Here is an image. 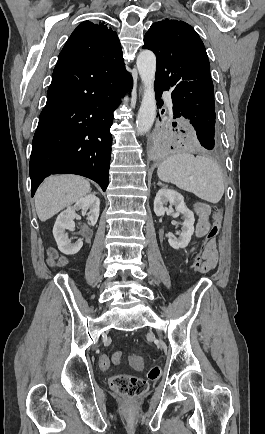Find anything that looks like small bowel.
<instances>
[{"label": "small bowel", "mask_w": 265, "mask_h": 434, "mask_svg": "<svg viewBox=\"0 0 265 434\" xmlns=\"http://www.w3.org/2000/svg\"><path fill=\"white\" fill-rule=\"evenodd\" d=\"M194 212L197 216L195 235L198 238H202V237L207 235L208 231L211 228V223H210L211 209L207 203L197 202L194 205ZM203 259L210 267V268L204 267L203 273L209 274L210 270H212L216 267L217 261H218V253H217V249H216L215 240L207 243V245L203 251ZM131 363L135 369H137L139 371L142 370V361H141L140 357L134 356L131 360ZM109 366H110V360L108 363V367Z\"/></svg>", "instance_id": "1"}]
</instances>
